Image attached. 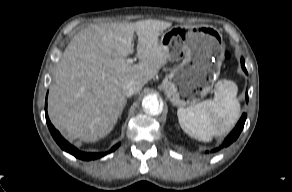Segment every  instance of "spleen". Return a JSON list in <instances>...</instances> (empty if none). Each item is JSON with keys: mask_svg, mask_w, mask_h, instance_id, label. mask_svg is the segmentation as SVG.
<instances>
[{"mask_svg": "<svg viewBox=\"0 0 292 192\" xmlns=\"http://www.w3.org/2000/svg\"><path fill=\"white\" fill-rule=\"evenodd\" d=\"M237 92L238 87L233 81L220 80L215 84L213 100L178 108L182 130L190 137L205 142L229 132L240 117Z\"/></svg>", "mask_w": 292, "mask_h": 192, "instance_id": "spleen-1", "label": "spleen"}]
</instances>
